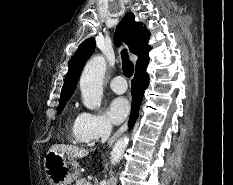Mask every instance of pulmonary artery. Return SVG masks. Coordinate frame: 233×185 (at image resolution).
Returning <instances> with one entry per match:
<instances>
[{
  "instance_id": "1",
  "label": "pulmonary artery",
  "mask_w": 233,
  "mask_h": 185,
  "mask_svg": "<svg viewBox=\"0 0 233 185\" xmlns=\"http://www.w3.org/2000/svg\"><path fill=\"white\" fill-rule=\"evenodd\" d=\"M111 89L116 93H124L127 90L126 80L122 76H116L110 81Z\"/></svg>"
}]
</instances>
